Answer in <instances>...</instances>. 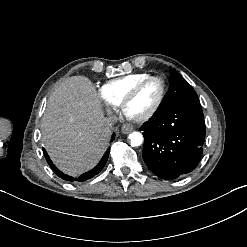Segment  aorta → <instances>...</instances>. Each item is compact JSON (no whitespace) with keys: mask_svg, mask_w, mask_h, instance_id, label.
I'll list each match as a JSON object with an SVG mask.
<instances>
[{"mask_svg":"<svg viewBox=\"0 0 247 247\" xmlns=\"http://www.w3.org/2000/svg\"><path fill=\"white\" fill-rule=\"evenodd\" d=\"M128 138L132 147L140 146L143 142V135L140 132H132Z\"/></svg>","mask_w":247,"mask_h":247,"instance_id":"aorta-1","label":"aorta"}]
</instances>
